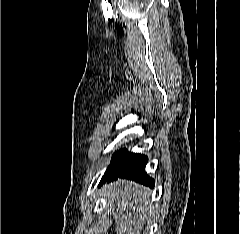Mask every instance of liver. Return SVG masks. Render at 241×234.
I'll return each instance as SVG.
<instances>
[{"label": "liver", "instance_id": "liver-1", "mask_svg": "<svg viewBox=\"0 0 241 234\" xmlns=\"http://www.w3.org/2000/svg\"><path fill=\"white\" fill-rule=\"evenodd\" d=\"M117 234H140L151 214L148 190L135 182L118 180L104 187Z\"/></svg>", "mask_w": 241, "mask_h": 234}]
</instances>
